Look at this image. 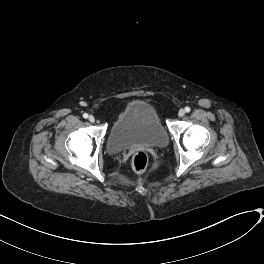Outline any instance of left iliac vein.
I'll return each mask as SVG.
<instances>
[{
	"instance_id": "obj_1",
	"label": "left iliac vein",
	"mask_w": 264,
	"mask_h": 264,
	"mask_svg": "<svg viewBox=\"0 0 264 264\" xmlns=\"http://www.w3.org/2000/svg\"><path fill=\"white\" fill-rule=\"evenodd\" d=\"M184 114H185L184 109H180V110L178 111V115H179L180 117L184 116Z\"/></svg>"
}]
</instances>
